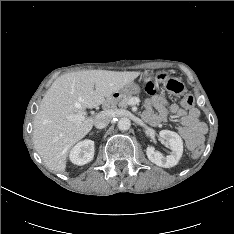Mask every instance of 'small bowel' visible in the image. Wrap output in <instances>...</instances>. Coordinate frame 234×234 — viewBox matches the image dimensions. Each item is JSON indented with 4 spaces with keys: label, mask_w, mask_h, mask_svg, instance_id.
<instances>
[{
    "label": "small bowel",
    "mask_w": 234,
    "mask_h": 234,
    "mask_svg": "<svg viewBox=\"0 0 234 234\" xmlns=\"http://www.w3.org/2000/svg\"><path fill=\"white\" fill-rule=\"evenodd\" d=\"M200 112L197 108L185 110L177 104L168 105L159 95H154L146 101L144 120L152 126H159L169 116L177 119L179 134L191 148L203 142L207 133V126L199 120Z\"/></svg>",
    "instance_id": "1"
}]
</instances>
